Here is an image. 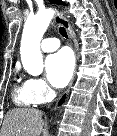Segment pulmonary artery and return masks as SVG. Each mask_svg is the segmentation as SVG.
Returning a JSON list of instances; mask_svg holds the SVG:
<instances>
[{"label":"pulmonary artery","mask_w":117,"mask_h":136,"mask_svg":"<svg viewBox=\"0 0 117 136\" xmlns=\"http://www.w3.org/2000/svg\"><path fill=\"white\" fill-rule=\"evenodd\" d=\"M59 46H60V41H59V39H57L55 37L45 38L41 42V49L44 52H52V51L56 50Z\"/></svg>","instance_id":"e3ab8cb5"}]
</instances>
